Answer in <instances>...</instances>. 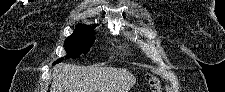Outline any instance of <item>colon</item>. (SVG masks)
I'll return each mask as SVG.
<instances>
[{
    "label": "colon",
    "mask_w": 225,
    "mask_h": 92,
    "mask_svg": "<svg viewBox=\"0 0 225 92\" xmlns=\"http://www.w3.org/2000/svg\"><path fill=\"white\" fill-rule=\"evenodd\" d=\"M149 82H150L152 92H160L161 91L160 84L157 80L150 78Z\"/></svg>",
    "instance_id": "obj_1"
}]
</instances>
